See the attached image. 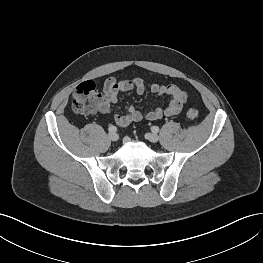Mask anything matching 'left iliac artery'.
<instances>
[{
    "instance_id": "1",
    "label": "left iliac artery",
    "mask_w": 263,
    "mask_h": 263,
    "mask_svg": "<svg viewBox=\"0 0 263 263\" xmlns=\"http://www.w3.org/2000/svg\"><path fill=\"white\" fill-rule=\"evenodd\" d=\"M151 130H152V132L157 133L159 131V127L158 126H152Z\"/></svg>"
}]
</instances>
